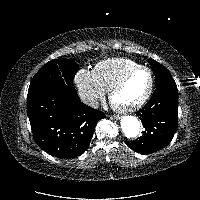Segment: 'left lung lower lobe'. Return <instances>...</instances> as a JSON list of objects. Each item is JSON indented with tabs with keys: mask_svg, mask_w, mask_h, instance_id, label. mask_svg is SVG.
<instances>
[{
	"mask_svg": "<svg viewBox=\"0 0 200 200\" xmlns=\"http://www.w3.org/2000/svg\"><path fill=\"white\" fill-rule=\"evenodd\" d=\"M145 131L134 140L126 141L132 150L147 154L166 147L178 128L177 86L156 88L149 102L138 112Z\"/></svg>",
	"mask_w": 200,
	"mask_h": 200,
	"instance_id": "left-lung-lower-lobe-1",
	"label": "left lung lower lobe"
}]
</instances>
